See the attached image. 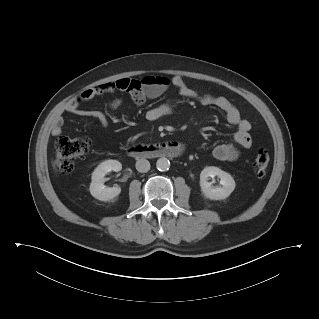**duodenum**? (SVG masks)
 Returning a JSON list of instances; mask_svg holds the SVG:
<instances>
[{"label":"duodenum","instance_id":"1","mask_svg":"<svg viewBox=\"0 0 319 319\" xmlns=\"http://www.w3.org/2000/svg\"><path fill=\"white\" fill-rule=\"evenodd\" d=\"M178 143L167 141L153 145H136L127 150V153L137 158H174L180 154Z\"/></svg>","mask_w":319,"mask_h":319}]
</instances>
